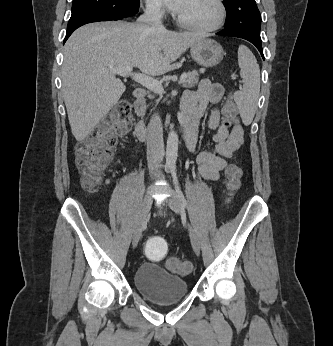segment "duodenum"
I'll use <instances>...</instances> for the list:
<instances>
[{
	"label": "duodenum",
	"instance_id": "duodenum-1",
	"mask_svg": "<svg viewBox=\"0 0 333 346\" xmlns=\"http://www.w3.org/2000/svg\"><path fill=\"white\" fill-rule=\"evenodd\" d=\"M145 96H146V92L144 89L137 88L134 90V97L136 100V112L139 117L144 112V106L142 104V101L144 100ZM178 130L181 133H184L185 137L188 136L190 134V126H189L188 120L181 118L180 122L178 123ZM134 134L138 139L145 140L147 135V128L145 123L142 120H138L135 123Z\"/></svg>",
	"mask_w": 333,
	"mask_h": 346
}]
</instances>
